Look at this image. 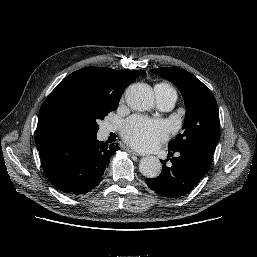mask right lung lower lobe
I'll return each mask as SVG.
<instances>
[{
  "label": "right lung lower lobe",
  "mask_w": 257,
  "mask_h": 257,
  "mask_svg": "<svg viewBox=\"0 0 257 257\" xmlns=\"http://www.w3.org/2000/svg\"><path fill=\"white\" fill-rule=\"evenodd\" d=\"M120 148L99 142L96 135H71L50 141L39 154L45 174L59 190L84 194L103 179L111 156Z\"/></svg>",
  "instance_id": "98d812e1"
}]
</instances>
